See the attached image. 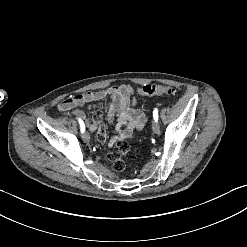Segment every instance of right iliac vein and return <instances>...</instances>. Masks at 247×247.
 Returning <instances> with one entry per match:
<instances>
[{
	"mask_svg": "<svg viewBox=\"0 0 247 247\" xmlns=\"http://www.w3.org/2000/svg\"><path fill=\"white\" fill-rule=\"evenodd\" d=\"M82 138H83V141H84L85 143H87V144L90 143L91 138H90V134H89L88 132H85V133L83 134Z\"/></svg>",
	"mask_w": 247,
	"mask_h": 247,
	"instance_id": "63e3f726",
	"label": "right iliac vein"
}]
</instances>
